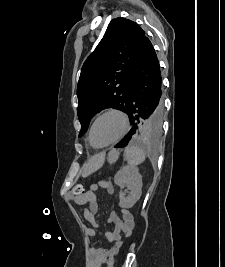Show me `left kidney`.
I'll return each instance as SVG.
<instances>
[{
	"mask_svg": "<svg viewBox=\"0 0 225 267\" xmlns=\"http://www.w3.org/2000/svg\"><path fill=\"white\" fill-rule=\"evenodd\" d=\"M114 183L120 188L126 186L130 190V194L127 196L122 191L120 192L119 206L127 209L132 208L142 194V176L138 168L124 166L115 175Z\"/></svg>",
	"mask_w": 225,
	"mask_h": 267,
	"instance_id": "5707ae66",
	"label": "left kidney"
}]
</instances>
